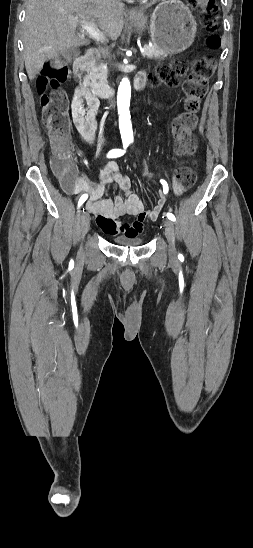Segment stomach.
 I'll return each instance as SVG.
<instances>
[{"label": "stomach", "mask_w": 253, "mask_h": 548, "mask_svg": "<svg viewBox=\"0 0 253 548\" xmlns=\"http://www.w3.org/2000/svg\"><path fill=\"white\" fill-rule=\"evenodd\" d=\"M133 27L139 33L148 28L153 44L168 53H180L194 41L197 24L187 6L180 0L160 3L148 19L140 15L132 19Z\"/></svg>", "instance_id": "stomach-1"}]
</instances>
